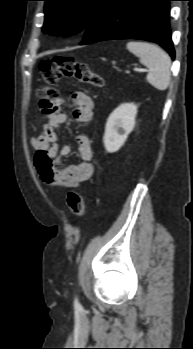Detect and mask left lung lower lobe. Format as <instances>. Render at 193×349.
I'll use <instances>...</instances> for the list:
<instances>
[{
	"label": "left lung lower lobe",
	"mask_w": 193,
	"mask_h": 349,
	"mask_svg": "<svg viewBox=\"0 0 193 349\" xmlns=\"http://www.w3.org/2000/svg\"><path fill=\"white\" fill-rule=\"evenodd\" d=\"M172 0H107L85 29L80 45L112 39H142L175 52L169 27Z\"/></svg>",
	"instance_id": "left-lung-lower-lobe-1"
}]
</instances>
